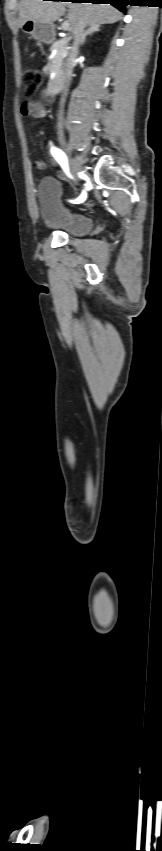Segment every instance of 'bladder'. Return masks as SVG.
I'll return each mask as SVG.
<instances>
[{
  "mask_svg": "<svg viewBox=\"0 0 162 851\" xmlns=\"http://www.w3.org/2000/svg\"><path fill=\"white\" fill-rule=\"evenodd\" d=\"M40 213L47 229L63 232L71 237H83L92 227V219L69 208L61 199L60 183L54 178H43L37 188Z\"/></svg>",
  "mask_w": 162,
  "mask_h": 851,
  "instance_id": "obj_1",
  "label": "bladder"
}]
</instances>
